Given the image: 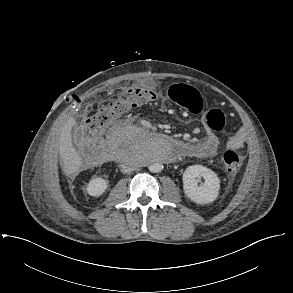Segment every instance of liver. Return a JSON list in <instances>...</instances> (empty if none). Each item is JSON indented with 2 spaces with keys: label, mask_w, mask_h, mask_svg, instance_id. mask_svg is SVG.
I'll use <instances>...</instances> for the list:
<instances>
[{
  "label": "liver",
  "mask_w": 293,
  "mask_h": 293,
  "mask_svg": "<svg viewBox=\"0 0 293 293\" xmlns=\"http://www.w3.org/2000/svg\"><path fill=\"white\" fill-rule=\"evenodd\" d=\"M76 125L74 118H69L63 125L59 137V153L62 160V170L66 175L78 172L82 159L72 144V127Z\"/></svg>",
  "instance_id": "liver-1"
}]
</instances>
